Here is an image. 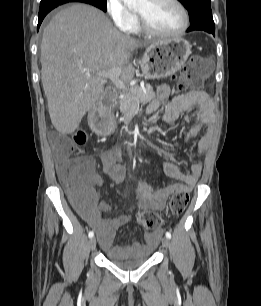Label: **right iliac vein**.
I'll return each instance as SVG.
<instances>
[{
    "label": "right iliac vein",
    "instance_id": "right-iliac-vein-1",
    "mask_svg": "<svg viewBox=\"0 0 261 306\" xmlns=\"http://www.w3.org/2000/svg\"><path fill=\"white\" fill-rule=\"evenodd\" d=\"M89 247L91 250H94L96 248V238L95 237H92L89 240Z\"/></svg>",
    "mask_w": 261,
    "mask_h": 306
}]
</instances>
